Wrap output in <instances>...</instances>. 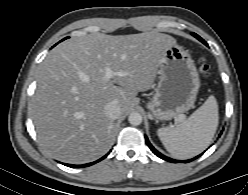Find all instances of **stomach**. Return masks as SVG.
Masks as SVG:
<instances>
[{"instance_id":"0dacf381","label":"stomach","mask_w":248,"mask_h":195,"mask_svg":"<svg viewBox=\"0 0 248 195\" xmlns=\"http://www.w3.org/2000/svg\"><path fill=\"white\" fill-rule=\"evenodd\" d=\"M158 74L155 94L147 104L156 121L171 120L191 109L200 82L188 52L177 44L167 47Z\"/></svg>"}]
</instances>
